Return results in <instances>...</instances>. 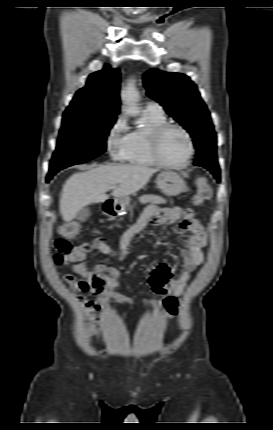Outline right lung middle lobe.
<instances>
[{"label": "right lung middle lobe", "mask_w": 273, "mask_h": 430, "mask_svg": "<svg viewBox=\"0 0 273 430\" xmlns=\"http://www.w3.org/2000/svg\"><path fill=\"white\" fill-rule=\"evenodd\" d=\"M114 117H91L64 113L58 144L49 174L71 165L87 162L106 150V138L114 125Z\"/></svg>", "instance_id": "obj_1"}]
</instances>
